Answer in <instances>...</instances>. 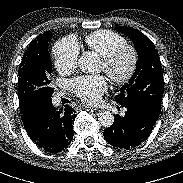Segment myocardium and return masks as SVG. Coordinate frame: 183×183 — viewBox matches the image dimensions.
<instances>
[{"mask_svg":"<svg viewBox=\"0 0 183 183\" xmlns=\"http://www.w3.org/2000/svg\"><path fill=\"white\" fill-rule=\"evenodd\" d=\"M127 54L129 56V64L127 69L118 73L115 69L117 61ZM139 62V54L137 49L129 44H124L116 49L112 50L108 54L102 56L103 70L109 76V78L116 84H124L132 79L135 75Z\"/></svg>","mask_w":183,"mask_h":183,"instance_id":"obj_1","label":"myocardium"}]
</instances>
